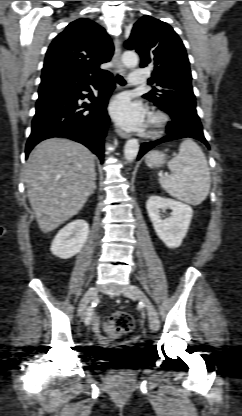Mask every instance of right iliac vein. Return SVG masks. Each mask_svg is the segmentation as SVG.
<instances>
[{"label": "right iliac vein", "instance_id": "right-iliac-vein-1", "mask_svg": "<svg viewBox=\"0 0 242 416\" xmlns=\"http://www.w3.org/2000/svg\"><path fill=\"white\" fill-rule=\"evenodd\" d=\"M97 295V289L95 287H92L88 290V292L85 294L83 299L80 302L79 305V314H83L84 311L87 309V306L92 298H94Z\"/></svg>", "mask_w": 242, "mask_h": 416}]
</instances>
